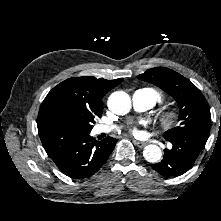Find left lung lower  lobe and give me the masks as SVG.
Masks as SVG:
<instances>
[{"instance_id": "left-lung-lower-lobe-1", "label": "left lung lower lobe", "mask_w": 221, "mask_h": 221, "mask_svg": "<svg viewBox=\"0 0 221 221\" xmlns=\"http://www.w3.org/2000/svg\"><path fill=\"white\" fill-rule=\"evenodd\" d=\"M208 137L209 132L200 131L169 139L173 145L172 149H165L163 160L151 165L152 168L165 177L184 174L194 165Z\"/></svg>"}]
</instances>
